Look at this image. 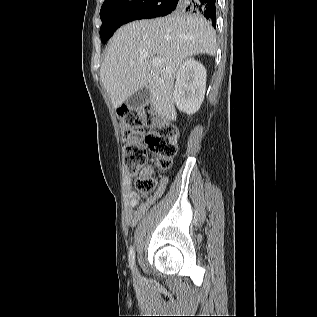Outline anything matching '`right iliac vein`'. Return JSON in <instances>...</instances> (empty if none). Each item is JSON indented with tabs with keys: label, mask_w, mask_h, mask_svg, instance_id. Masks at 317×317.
Listing matches in <instances>:
<instances>
[{
	"label": "right iliac vein",
	"mask_w": 317,
	"mask_h": 317,
	"mask_svg": "<svg viewBox=\"0 0 317 317\" xmlns=\"http://www.w3.org/2000/svg\"><path fill=\"white\" fill-rule=\"evenodd\" d=\"M134 272H135V275H137V269L134 267Z\"/></svg>",
	"instance_id": "63e3f726"
}]
</instances>
